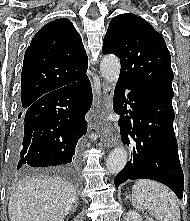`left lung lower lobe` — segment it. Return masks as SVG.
Here are the masks:
<instances>
[{"mask_svg":"<svg viewBox=\"0 0 190 221\" xmlns=\"http://www.w3.org/2000/svg\"><path fill=\"white\" fill-rule=\"evenodd\" d=\"M125 89L130 90L126 103ZM172 98L118 80L114 110L121 116L118 124L122 140L132 146V160L115 177L117 188L128 179H152L171 188L179 199L183 197L184 176L173 128Z\"/></svg>","mask_w":190,"mask_h":221,"instance_id":"left-lung-lower-lobe-1","label":"left lung lower lobe"}]
</instances>
